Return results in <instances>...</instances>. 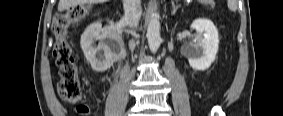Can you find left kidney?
I'll list each match as a JSON object with an SVG mask.
<instances>
[{
    "label": "left kidney",
    "mask_w": 283,
    "mask_h": 116,
    "mask_svg": "<svg viewBox=\"0 0 283 116\" xmlns=\"http://www.w3.org/2000/svg\"><path fill=\"white\" fill-rule=\"evenodd\" d=\"M191 27L197 31L198 38L189 44L186 57L193 69L206 70L218 51V30L211 20L205 18L194 20Z\"/></svg>",
    "instance_id": "obj_1"
}]
</instances>
